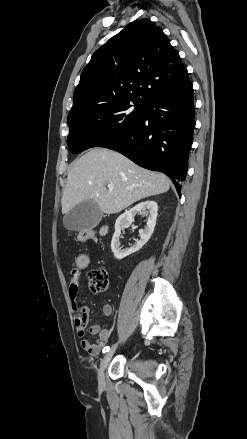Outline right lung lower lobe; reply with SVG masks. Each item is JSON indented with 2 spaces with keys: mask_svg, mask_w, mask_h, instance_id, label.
Segmentation results:
<instances>
[{
  "mask_svg": "<svg viewBox=\"0 0 247 439\" xmlns=\"http://www.w3.org/2000/svg\"><path fill=\"white\" fill-rule=\"evenodd\" d=\"M194 127L191 84L149 102L141 121L106 148L120 152L143 168L165 173L180 196Z\"/></svg>",
  "mask_w": 247,
  "mask_h": 439,
  "instance_id": "98d812e1",
  "label": "right lung lower lobe"
}]
</instances>
